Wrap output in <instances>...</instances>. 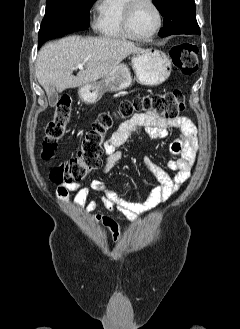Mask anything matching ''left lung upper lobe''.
I'll use <instances>...</instances> for the list:
<instances>
[{
	"label": "left lung upper lobe",
	"instance_id": "1",
	"mask_svg": "<svg viewBox=\"0 0 240 329\" xmlns=\"http://www.w3.org/2000/svg\"><path fill=\"white\" fill-rule=\"evenodd\" d=\"M164 16L161 37L173 34H200L194 0H153Z\"/></svg>",
	"mask_w": 240,
	"mask_h": 329
}]
</instances>
